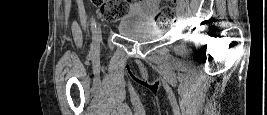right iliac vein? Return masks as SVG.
Returning a JSON list of instances; mask_svg holds the SVG:
<instances>
[{"label": "right iliac vein", "instance_id": "obj_1", "mask_svg": "<svg viewBox=\"0 0 267 115\" xmlns=\"http://www.w3.org/2000/svg\"><path fill=\"white\" fill-rule=\"evenodd\" d=\"M100 34H101V30H100V27H98L97 30H96V34H95V39L96 40H99Z\"/></svg>", "mask_w": 267, "mask_h": 115}]
</instances>
